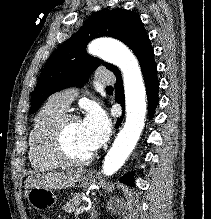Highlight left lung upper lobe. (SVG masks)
<instances>
[{
  "mask_svg": "<svg viewBox=\"0 0 211 219\" xmlns=\"http://www.w3.org/2000/svg\"><path fill=\"white\" fill-rule=\"evenodd\" d=\"M116 38L134 54L148 37L139 15L120 8L94 13L81 29L64 42L49 58L33 91L30 113H35L44 100L64 88L81 87L100 65L115 73L119 69L87 54L86 46L93 38Z\"/></svg>",
  "mask_w": 211,
  "mask_h": 219,
  "instance_id": "left-lung-upper-lobe-1",
  "label": "left lung upper lobe"
}]
</instances>
